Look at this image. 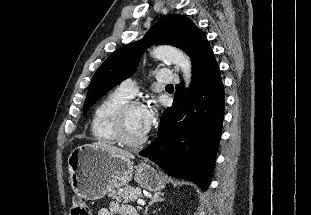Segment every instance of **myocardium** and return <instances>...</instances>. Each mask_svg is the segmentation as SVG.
<instances>
[{
	"label": "myocardium",
	"mask_w": 311,
	"mask_h": 215,
	"mask_svg": "<svg viewBox=\"0 0 311 215\" xmlns=\"http://www.w3.org/2000/svg\"><path fill=\"white\" fill-rule=\"evenodd\" d=\"M136 107L144 108V105L138 100H128L124 104L118 107L114 113L113 126L118 141L129 147H137L144 144L147 140V136L134 140L130 138L126 130V115L127 113Z\"/></svg>",
	"instance_id": "1"
}]
</instances>
